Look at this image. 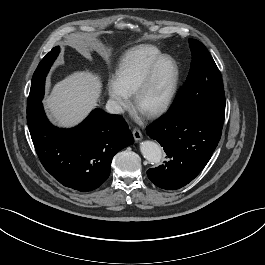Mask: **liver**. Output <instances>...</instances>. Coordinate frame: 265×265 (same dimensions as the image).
Segmentation results:
<instances>
[{"mask_svg": "<svg viewBox=\"0 0 265 265\" xmlns=\"http://www.w3.org/2000/svg\"><path fill=\"white\" fill-rule=\"evenodd\" d=\"M102 83L97 74L76 71L56 83L44 100L50 117L61 127L80 123L96 106Z\"/></svg>", "mask_w": 265, "mask_h": 265, "instance_id": "6515ba94", "label": "liver"}]
</instances>
